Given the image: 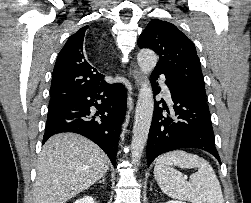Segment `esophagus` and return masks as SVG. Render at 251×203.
I'll use <instances>...</instances> for the list:
<instances>
[{"instance_id": "obj_1", "label": "esophagus", "mask_w": 251, "mask_h": 203, "mask_svg": "<svg viewBox=\"0 0 251 203\" xmlns=\"http://www.w3.org/2000/svg\"><path fill=\"white\" fill-rule=\"evenodd\" d=\"M132 78L134 79L135 86L139 88L142 83V73L136 65H132V70L130 71Z\"/></svg>"}]
</instances>
